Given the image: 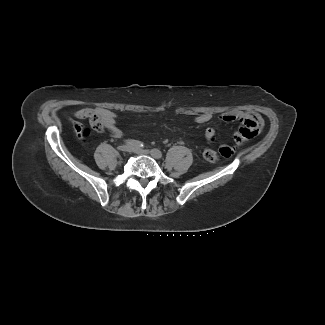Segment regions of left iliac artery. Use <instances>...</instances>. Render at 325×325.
Segmentation results:
<instances>
[{"instance_id": "obj_1", "label": "left iliac artery", "mask_w": 325, "mask_h": 325, "mask_svg": "<svg viewBox=\"0 0 325 325\" xmlns=\"http://www.w3.org/2000/svg\"><path fill=\"white\" fill-rule=\"evenodd\" d=\"M151 151H153V152H155V153L159 154V155H160V157H162V153H161V151H160V150H158V149H152Z\"/></svg>"}]
</instances>
